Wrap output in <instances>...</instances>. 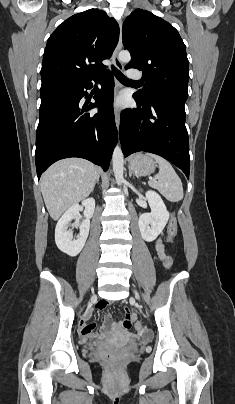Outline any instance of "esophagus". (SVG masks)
<instances>
[{"mask_svg": "<svg viewBox=\"0 0 235 404\" xmlns=\"http://www.w3.org/2000/svg\"><path fill=\"white\" fill-rule=\"evenodd\" d=\"M119 40L117 43V46L115 48L114 54H113V62H114V66L118 69V70H123V64L121 63L120 59H119V52L122 49V21H119ZM121 85L119 84L118 81H116L115 83V93L117 94L118 91L120 90ZM114 115H115V122H116V127L117 129H119L120 126V110L119 108L114 105Z\"/></svg>", "mask_w": 235, "mask_h": 404, "instance_id": "esophagus-1", "label": "esophagus"}]
</instances>
